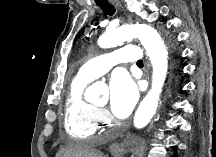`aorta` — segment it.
Segmentation results:
<instances>
[{"label": "aorta", "mask_w": 216, "mask_h": 157, "mask_svg": "<svg viewBox=\"0 0 216 157\" xmlns=\"http://www.w3.org/2000/svg\"><path fill=\"white\" fill-rule=\"evenodd\" d=\"M134 38H138L146 49L153 70L151 89L140 103L134 116V126L142 129L148 125L156 113L168 72V49L163 39L151 26L136 23L106 31L98 39V45L101 48H112ZM98 95L99 85L95 83L89 87L86 98H96Z\"/></svg>", "instance_id": "obj_1"}]
</instances>
